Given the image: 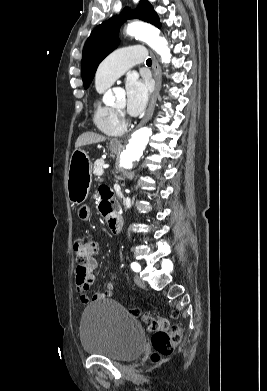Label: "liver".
<instances>
[{
    "label": "liver",
    "mask_w": 267,
    "mask_h": 391,
    "mask_svg": "<svg viewBox=\"0 0 267 391\" xmlns=\"http://www.w3.org/2000/svg\"><path fill=\"white\" fill-rule=\"evenodd\" d=\"M105 140H106V137L103 135H100V134H97L94 132H85L78 137V139L75 143V147L78 148V147L85 146V145L103 142Z\"/></svg>",
    "instance_id": "1"
}]
</instances>
